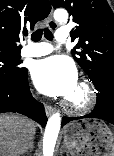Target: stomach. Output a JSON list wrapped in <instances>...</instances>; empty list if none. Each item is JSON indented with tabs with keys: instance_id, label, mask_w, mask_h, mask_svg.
I'll list each match as a JSON object with an SVG mask.
<instances>
[{
	"instance_id": "1",
	"label": "stomach",
	"mask_w": 114,
	"mask_h": 156,
	"mask_svg": "<svg viewBox=\"0 0 114 156\" xmlns=\"http://www.w3.org/2000/svg\"><path fill=\"white\" fill-rule=\"evenodd\" d=\"M64 144L71 156H110L114 134L98 119L73 121L64 128Z\"/></svg>"
}]
</instances>
